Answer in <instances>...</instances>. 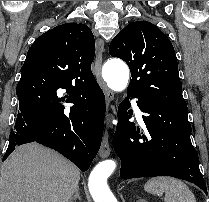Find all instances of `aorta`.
<instances>
[{
  "instance_id": "aorta-1",
  "label": "aorta",
  "mask_w": 209,
  "mask_h": 202,
  "mask_svg": "<svg viewBox=\"0 0 209 202\" xmlns=\"http://www.w3.org/2000/svg\"><path fill=\"white\" fill-rule=\"evenodd\" d=\"M102 73L110 89L122 91L127 87L129 69L124 62L109 60L104 65ZM115 167V161L109 159L98 163L91 171L88 187L94 202H117L107 185V179L113 173Z\"/></svg>"
}]
</instances>
